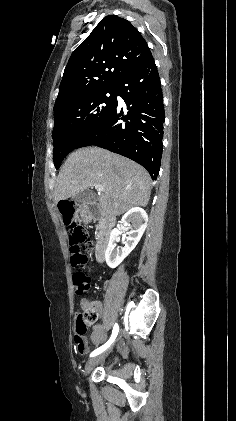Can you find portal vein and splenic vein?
<instances>
[{
  "label": "portal vein and splenic vein",
  "mask_w": 236,
  "mask_h": 421,
  "mask_svg": "<svg viewBox=\"0 0 236 421\" xmlns=\"http://www.w3.org/2000/svg\"><path fill=\"white\" fill-rule=\"evenodd\" d=\"M93 186L96 188V190H103L102 184H93Z\"/></svg>",
  "instance_id": "obj_1"
}]
</instances>
